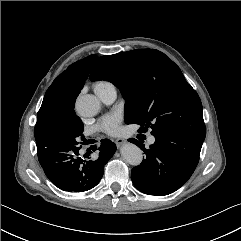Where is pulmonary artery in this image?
Returning <instances> with one entry per match:
<instances>
[{"label":"pulmonary artery","instance_id":"1","mask_svg":"<svg viewBox=\"0 0 241 241\" xmlns=\"http://www.w3.org/2000/svg\"><path fill=\"white\" fill-rule=\"evenodd\" d=\"M95 92L98 95V97L106 104L113 103L117 96L116 88L113 85L103 89L95 90ZM154 141L155 138L153 136H151L148 140L150 144H153Z\"/></svg>","mask_w":241,"mask_h":241}]
</instances>
